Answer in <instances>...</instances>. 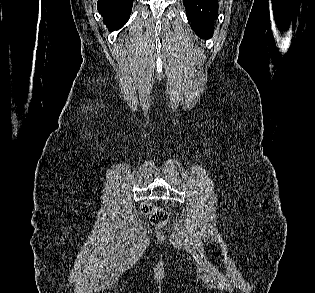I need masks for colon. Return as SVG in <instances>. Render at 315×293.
Returning a JSON list of instances; mask_svg holds the SVG:
<instances>
[{"label":"colon","mask_w":315,"mask_h":293,"mask_svg":"<svg viewBox=\"0 0 315 293\" xmlns=\"http://www.w3.org/2000/svg\"><path fill=\"white\" fill-rule=\"evenodd\" d=\"M141 211L144 215L148 216L153 225L157 227L164 226L168 221V213L166 210L156 207L151 203H143Z\"/></svg>","instance_id":"colon-1"}]
</instances>
